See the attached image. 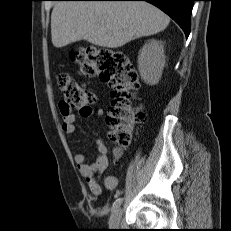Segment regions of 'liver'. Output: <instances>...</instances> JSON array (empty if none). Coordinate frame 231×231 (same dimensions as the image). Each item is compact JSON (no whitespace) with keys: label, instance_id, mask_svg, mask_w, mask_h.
Returning <instances> with one entry per match:
<instances>
[{"label":"liver","instance_id":"obj_1","mask_svg":"<svg viewBox=\"0 0 231 231\" xmlns=\"http://www.w3.org/2000/svg\"><path fill=\"white\" fill-rule=\"evenodd\" d=\"M170 18L147 2L59 1L51 13V36L55 47L87 42L107 48L163 31Z\"/></svg>","mask_w":231,"mask_h":231}]
</instances>
